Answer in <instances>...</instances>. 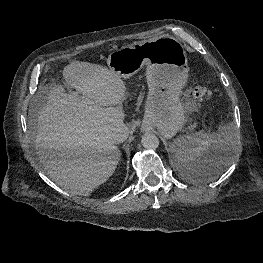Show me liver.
<instances>
[{
    "instance_id": "obj_1",
    "label": "liver",
    "mask_w": 263,
    "mask_h": 263,
    "mask_svg": "<svg viewBox=\"0 0 263 263\" xmlns=\"http://www.w3.org/2000/svg\"><path fill=\"white\" fill-rule=\"evenodd\" d=\"M62 73L76 91L69 94L60 84L47 91L35 146L57 185L88 196L112 176L120 160L111 134L125 125L117 105L126 98V86L117 73L99 64L72 61Z\"/></svg>"
}]
</instances>
